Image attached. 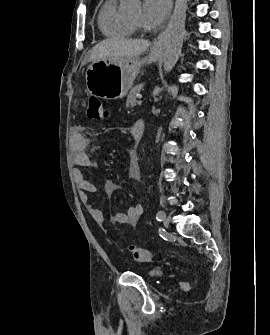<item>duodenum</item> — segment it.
<instances>
[{
  "mask_svg": "<svg viewBox=\"0 0 270 335\" xmlns=\"http://www.w3.org/2000/svg\"><path fill=\"white\" fill-rule=\"evenodd\" d=\"M145 130V123L142 120L137 121L133 128H132V134L136 140H140L143 137Z\"/></svg>",
  "mask_w": 270,
  "mask_h": 335,
  "instance_id": "duodenum-1",
  "label": "duodenum"
}]
</instances>
